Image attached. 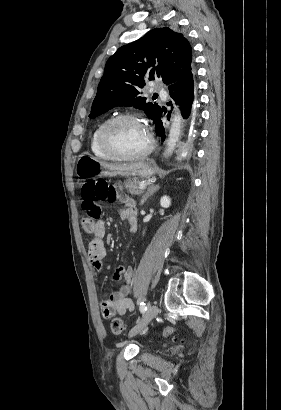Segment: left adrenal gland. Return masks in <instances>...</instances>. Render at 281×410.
I'll return each instance as SVG.
<instances>
[{"mask_svg": "<svg viewBox=\"0 0 281 410\" xmlns=\"http://www.w3.org/2000/svg\"><path fill=\"white\" fill-rule=\"evenodd\" d=\"M160 186L159 185H155V184H151L148 189L147 192L144 194V196L141 199L140 205L142 206L150 196H152L155 192H157L159 190Z\"/></svg>", "mask_w": 281, "mask_h": 410, "instance_id": "a2214340", "label": "left adrenal gland"}]
</instances>
